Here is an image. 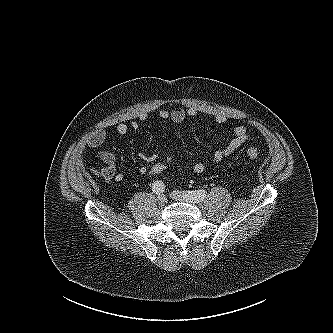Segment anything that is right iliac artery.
<instances>
[{"mask_svg": "<svg viewBox=\"0 0 333 333\" xmlns=\"http://www.w3.org/2000/svg\"><path fill=\"white\" fill-rule=\"evenodd\" d=\"M152 190L156 194H161L165 191V185L162 181L157 180L152 184Z\"/></svg>", "mask_w": 333, "mask_h": 333, "instance_id": "82829eb1", "label": "right iliac artery"}]
</instances>
